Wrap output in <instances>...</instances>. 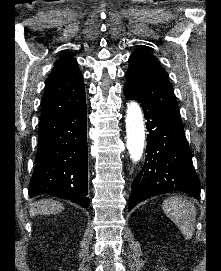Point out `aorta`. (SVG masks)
Here are the masks:
<instances>
[{
	"label": "aorta",
	"mask_w": 221,
	"mask_h": 271,
	"mask_svg": "<svg viewBox=\"0 0 221 271\" xmlns=\"http://www.w3.org/2000/svg\"><path fill=\"white\" fill-rule=\"evenodd\" d=\"M126 135L127 149L133 162H138L143 154L145 146L144 118L140 105L131 101L126 110Z\"/></svg>",
	"instance_id": "762f6f07"
}]
</instances>
